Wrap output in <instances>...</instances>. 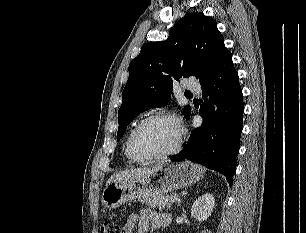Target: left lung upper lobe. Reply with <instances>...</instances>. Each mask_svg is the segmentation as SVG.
Masks as SVG:
<instances>
[{"mask_svg": "<svg viewBox=\"0 0 306 233\" xmlns=\"http://www.w3.org/2000/svg\"><path fill=\"white\" fill-rule=\"evenodd\" d=\"M227 51L216 21L203 13H187L167 40L144 45L129 65L118 111L117 140L137 115L170 101L174 80L195 76L202 82ZM183 114H191L190 106Z\"/></svg>", "mask_w": 306, "mask_h": 233, "instance_id": "5c2ea615", "label": "left lung upper lobe"}]
</instances>
